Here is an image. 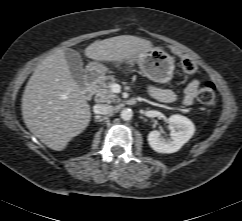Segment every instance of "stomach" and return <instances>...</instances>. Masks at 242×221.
<instances>
[{
    "mask_svg": "<svg viewBox=\"0 0 242 221\" xmlns=\"http://www.w3.org/2000/svg\"><path fill=\"white\" fill-rule=\"evenodd\" d=\"M132 65L136 62L142 73L150 80L158 83H167L173 77L174 59L159 48H151L136 57L122 60ZM120 61V62H122ZM88 71L101 79L105 73V67L99 62L88 65Z\"/></svg>",
    "mask_w": 242,
    "mask_h": 221,
    "instance_id": "1",
    "label": "stomach"
}]
</instances>
